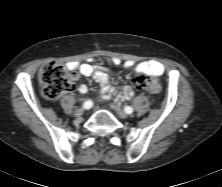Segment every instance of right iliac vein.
Segmentation results:
<instances>
[{"mask_svg":"<svg viewBox=\"0 0 222 187\" xmlns=\"http://www.w3.org/2000/svg\"><path fill=\"white\" fill-rule=\"evenodd\" d=\"M83 113H84V109H83V108H77V109L75 110V112H74V115H75L76 117H79V116H81Z\"/></svg>","mask_w":222,"mask_h":187,"instance_id":"63e3f726","label":"right iliac vein"}]
</instances>
